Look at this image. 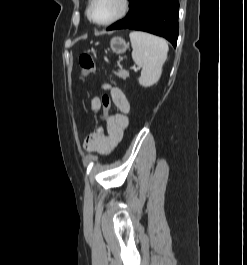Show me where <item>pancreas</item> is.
<instances>
[{"label":"pancreas","instance_id":"pancreas-1","mask_svg":"<svg viewBox=\"0 0 247 265\" xmlns=\"http://www.w3.org/2000/svg\"><path fill=\"white\" fill-rule=\"evenodd\" d=\"M117 75L122 79H126L127 77H129V72L121 67Z\"/></svg>","mask_w":247,"mask_h":265}]
</instances>
